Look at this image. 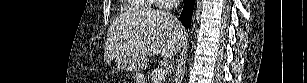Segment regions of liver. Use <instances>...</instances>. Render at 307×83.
I'll return each mask as SVG.
<instances>
[{
  "label": "liver",
  "instance_id": "6515ba94",
  "mask_svg": "<svg viewBox=\"0 0 307 83\" xmlns=\"http://www.w3.org/2000/svg\"><path fill=\"white\" fill-rule=\"evenodd\" d=\"M186 32L171 14L154 10L126 13L111 24L105 44L104 60L120 55L134 58L162 54L176 55L185 45Z\"/></svg>",
  "mask_w": 307,
  "mask_h": 83
}]
</instances>
